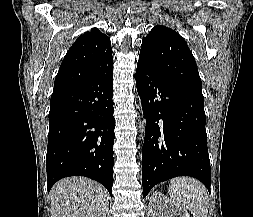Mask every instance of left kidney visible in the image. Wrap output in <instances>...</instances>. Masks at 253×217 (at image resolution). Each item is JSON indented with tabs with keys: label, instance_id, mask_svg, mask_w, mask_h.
Here are the masks:
<instances>
[{
	"label": "left kidney",
	"instance_id": "left-kidney-1",
	"mask_svg": "<svg viewBox=\"0 0 253 217\" xmlns=\"http://www.w3.org/2000/svg\"><path fill=\"white\" fill-rule=\"evenodd\" d=\"M151 203L153 204V217H190L185 208L174 204L160 192L153 194Z\"/></svg>",
	"mask_w": 253,
	"mask_h": 217
}]
</instances>
